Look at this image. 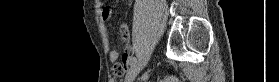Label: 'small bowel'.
<instances>
[{
    "instance_id": "c3829d8e",
    "label": "small bowel",
    "mask_w": 279,
    "mask_h": 82,
    "mask_svg": "<svg viewBox=\"0 0 279 82\" xmlns=\"http://www.w3.org/2000/svg\"><path fill=\"white\" fill-rule=\"evenodd\" d=\"M98 7L101 9V14L104 19H108L111 15V9L105 5L103 1H98ZM120 36L124 43L127 45L125 52L123 54V64L119 63V53L117 50L112 49L109 51V59L114 64L113 72L116 76H122L126 70L128 69L129 65L133 61V53L134 49L129 44L130 35L128 27L123 24L120 26Z\"/></svg>"
}]
</instances>
